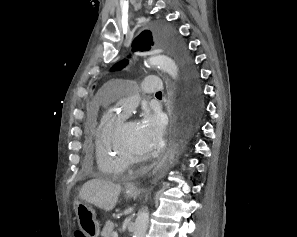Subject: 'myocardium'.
I'll return each mask as SVG.
<instances>
[{"label": "myocardium", "mask_w": 297, "mask_h": 237, "mask_svg": "<svg viewBox=\"0 0 297 237\" xmlns=\"http://www.w3.org/2000/svg\"><path fill=\"white\" fill-rule=\"evenodd\" d=\"M131 120L124 119L116 130V143L117 146L124 156V158L127 160L129 165L131 164H140L144 163L146 161L151 160L155 155L153 152L147 153V154H135L128 146L127 142L124 139V129L128 122Z\"/></svg>", "instance_id": "f54148a6"}]
</instances>
